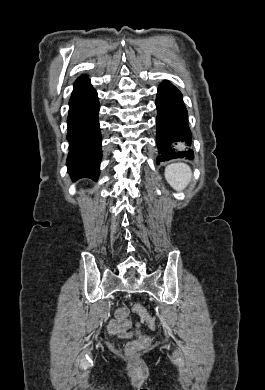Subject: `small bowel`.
<instances>
[{"label": "small bowel", "instance_id": "small-bowel-1", "mask_svg": "<svg viewBox=\"0 0 265 390\" xmlns=\"http://www.w3.org/2000/svg\"><path fill=\"white\" fill-rule=\"evenodd\" d=\"M131 326V323L129 320H123V319H113L108 324V330L112 334L116 335H128V330ZM139 326V325H137Z\"/></svg>", "mask_w": 265, "mask_h": 390}]
</instances>
